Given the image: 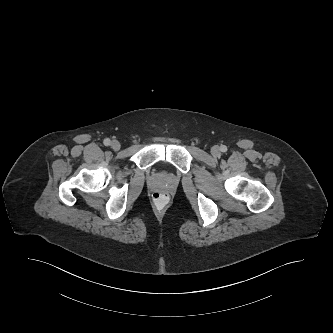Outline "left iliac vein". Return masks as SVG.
<instances>
[{"mask_svg":"<svg viewBox=\"0 0 333 333\" xmlns=\"http://www.w3.org/2000/svg\"><path fill=\"white\" fill-rule=\"evenodd\" d=\"M211 154L215 157H218L221 154L220 148L218 146H213L211 148Z\"/></svg>","mask_w":333,"mask_h":333,"instance_id":"4c4485c4","label":"left iliac vein"}]
</instances>
